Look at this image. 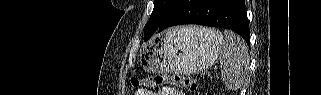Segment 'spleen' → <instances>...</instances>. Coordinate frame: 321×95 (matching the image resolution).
<instances>
[{
	"mask_svg": "<svg viewBox=\"0 0 321 95\" xmlns=\"http://www.w3.org/2000/svg\"><path fill=\"white\" fill-rule=\"evenodd\" d=\"M224 35L226 42L220 53V62L223 65L222 81L228 89L237 90L244 84L247 74L248 48L245 41L234 32L226 30Z\"/></svg>",
	"mask_w": 321,
	"mask_h": 95,
	"instance_id": "obj_1",
	"label": "spleen"
}]
</instances>
